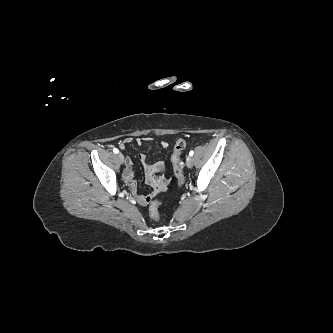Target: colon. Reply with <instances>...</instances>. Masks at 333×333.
<instances>
[{
  "label": "colon",
  "instance_id": "obj_1",
  "mask_svg": "<svg viewBox=\"0 0 333 333\" xmlns=\"http://www.w3.org/2000/svg\"><path fill=\"white\" fill-rule=\"evenodd\" d=\"M185 147H186V141L184 139H178L174 144L173 153L171 156V162L173 165L174 175H175V178L177 180V184L179 187H182L184 184V181H185L183 165H182V161H181V154H182L183 150L185 149ZM160 206H161V202L158 200H154L149 205V208H148L149 215L155 221H158L160 218V213H159Z\"/></svg>",
  "mask_w": 333,
  "mask_h": 333
}]
</instances>
